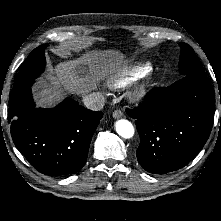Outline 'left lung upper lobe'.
Returning <instances> with one entry per match:
<instances>
[{"label":"left lung upper lobe","instance_id":"left-lung-upper-lobe-1","mask_svg":"<svg viewBox=\"0 0 221 221\" xmlns=\"http://www.w3.org/2000/svg\"><path fill=\"white\" fill-rule=\"evenodd\" d=\"M181 47L179 70L181 76L198 75L205 76L201 62L193 49L186 43H179Z\"/></svg>","mask_w":221,"mask_h":221}]
</instances>
